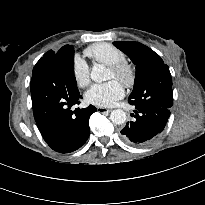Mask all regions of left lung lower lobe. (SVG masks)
Listing matches in <instances>:
<instances>
[{
  "label": "left lung lower lobe",
  "instance_id": "1",
  "mask_svg": "<svg viewBox=\"0 0 205 205\" xmlns=\"http://www.w3.org/2000/svg\"><path fill=\"white\" fill-rule=\"evenodd\" d=\"M134 119L127 122L120 131L121 138L128 144L142 146L153 142L164 127L170 116L169 108L150 106L136 107Z\"/></svg>",
  "mask_w": 205,
  "mask_h": 205
}]
</instances>
